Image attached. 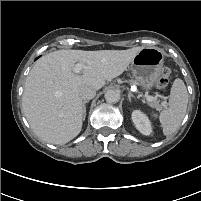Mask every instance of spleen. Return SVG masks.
<instances>
[{
    "label": "spleen",
    "instance_id": "spleen-1",
    "mask_svg": "<svg viewBox=\"0 0 201 201\" xmlns=\"http://www.w3.org/2000/svg\"><path fill=\"white\" fill-rule=\"evenodd\" d=\"M188 92L184 82L177 78L174 80L169 99V107L159 115V120L166 136L173 134L181 124L187 110ZM154 116H156L154 114Z\"/></svg>",
    "mask_w": 201,
    "mask_h": 201
}]
</instances>
